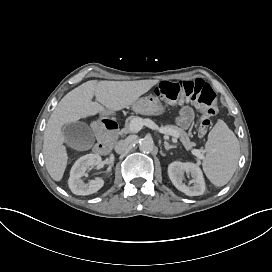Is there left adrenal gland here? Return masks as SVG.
I'll list each match as a JSON object with an SVG mask.
<instances>
[{"label": "left adrenal gland", "instance_id": "a2214340", "mask_svg": "<svg viewBox=\"0 0 272 272\" xmlns=\"http://www.w3.org/2000/svg\"><path fill=\"white\" fill-rule=\"evenodd\" d=\"M164 147H165V149H166L167 151L170 150V149H172V148H177L176 145H175V146L170 145V144L167 143L166 141H164Z\"/></svg>", "mask_w": 272, "mask_h": 272}]
</instances>
